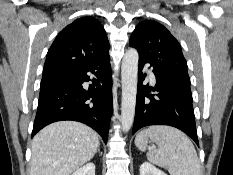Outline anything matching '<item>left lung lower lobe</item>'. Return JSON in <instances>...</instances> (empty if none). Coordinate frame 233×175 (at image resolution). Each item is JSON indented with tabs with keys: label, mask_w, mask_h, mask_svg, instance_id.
<instances>
[{
	"label": "left lung lower lobe",
	"mask_w": 233,
	"mask_h": 175,
	"mask_svg": "<svg viewBox=\"0 0 233 175\" xmlns=\"http://www.w3.org/2000/svg\"><path fill=\"white\" fill-rule=\"evenodd\" d=\"M148 63L139 57L138 90L133 134L150 125H169L190 136L199 145L190 80L168 75L153 69L156 77L155 88L143 85L142 69ZM156 91V97L150 94Z\"/></svg>",
	"instance_id": "1"
}]
</instances>
